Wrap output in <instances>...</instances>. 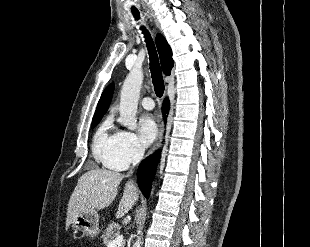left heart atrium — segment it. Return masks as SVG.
Wrapping results in <instances>:
<instances>
[{"label": "left heart atrium", "instance_id": "39dd6f15", "mask_svg": "<svg viewBox=\"0 0 310 247\" xmlns=\"http://www.w3.org/2000/svg\"><path fill=\"white\" fill-rule=\"evenodd\" d=\"M140 137L145 146L150 145L157 137L158 128L153 117L145 115L140 120Z\"/></svg>", "mask_w": 310, "mask_h": 247}]
</instances>
